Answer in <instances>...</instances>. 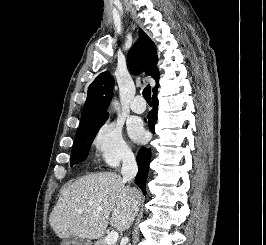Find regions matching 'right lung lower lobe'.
Wrapping results in <instances>:
<instances>
[{
  "instance_id": "obj_1",
  "label": "right lung lower lobe",
  "mask_w": 266,
  "mask_h": 245,
  "mask_svg": "<svg viewBox=\"0 0 266 245\" xmlns=\"http://www.w3.org/2000/svg\"><path fill=\"white\" fill-rule=\"evenodd\" d=\"M153 109L148 114V125L149 128L154 131V126L157 120V90L153 92L152 97ZM151 158V150L145 147H142L137 155L138 163V174L135 178V183L141 188L144 194H146V179L149 172V163Z\"/></svg>"
}]
</instances>
